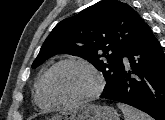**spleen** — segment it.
<instances>
[{"mask_svg":"<svg viewBox=\"0 0 165 120\" xmlns=\"http://www.w3.org/2000/svg\"><path fill=\"white\" fill-rule=\"evenodd\" d=\"M124 114L125 120H153L149 115L125 104H117Z\"/></svg>","mask_w":165,"mask_h":120,"instance_id":"spleen-1","label":"spleen"}]
</instances>
